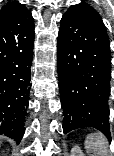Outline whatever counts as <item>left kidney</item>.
<instances>
[{
	"mask_svg": "<svg viewBox=\"0 0 114 156\" xmlns=\"http://www.w3.org/2000/svg\"><path fill=\"white\" fill-rule=\"evenodd\" d=\"M71 156H85L78 146H74L71 150Z\"/></svg>",
	"mask_w": 114,
	"mask_h": 156,
	"instance_id": "5707ae66",
	"label": "left kidney"
}]
</instances>
